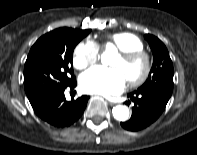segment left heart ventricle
<instances>
[{"label": "left heart ventricle", "instance_id": "obj_1", "mask_svg": "<svg viewBox=\"0 0 197 155\" xmlns=\"http://www.w3.org/2000/svg\"><path fill=\"white\" fill-rule=\"evenodd\" d=\"M112 67L121 70L126 80L138 77L143 71L142 61H124L120 55L115 57Z\"/></svg>", "mask_w": 197, "mask_h": 155}]
</instances>
